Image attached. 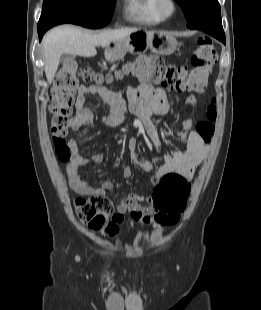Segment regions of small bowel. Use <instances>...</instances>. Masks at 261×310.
I'll list each match as a JSON object with an SVG mask.
<instances>
[{
    "mask_svg": "<svg viewBox=\"0 0 261 310\" xmlns=\"http://www.w3.org/2000/svg\"><path fill=\"white\" fill-rule=\"evenodd\" d=\"M90 95L98 96L104 104L115 110V115L105 120L107 125L113 124L123 113L126 97L129 101L131 113L145 129L155 146L159 147V135L153 115H165L169 111V103L162 90L154 89L148 83H141L137 88L128 87L124 92L94 85H80L75 104L76 111L69 122V126L73 131H77L82 125H90L93 122V112L86 105L87 97ZM186 102L188 105H196L197 98L194 95H189ZM192 126V120L186 119L183 121V130L179 131L177 136L185 141L184 149L165 155L164 162L160 166L156 167L150 160L138 157L135 138H131L128 141L130 160L144 171L155 170L152 178L154 184H158L164 175L171 172H177L186 179L191 180L197 167L206 156L209 142V140L203 139L196 130H193ZM67 146L70 150V158L67 165L70 188L75 193L81 195H106L112 191L113 183L111 181L106 180L98 187H92L81 178L79 173V170L89 162L101 163L103 156L101 154H94L90 158L83 157L74 139H69ZM124 176H130V169L128 167L124 169ZM142 201L143 197L137 193H131L122 199L116 208L119 222L125 213H129L131 218L137 222L148 224L155 221L154 218L159 213V209L154 206L151 198L148 199L149 205L147 206H143L141 204Z\"/></svg>",
    "mask_w": 261,
    "mask_h": 310,
    "instance_id": "1",
    "label": "small bowel"
}]
</instances>
